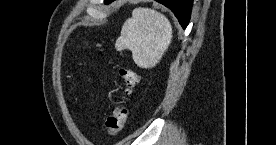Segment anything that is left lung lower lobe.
Masks as SVG:
<instances>
[{
	"instance_id": "obj_1",
	"label": "left lung lower lobe",
	"mask_w": 276,
	"mask_h": 145,
	"mask_svg": "<svg viewBox=\"0 0 276 145\" xmlns=\"http://www.w3.org/2000/svg\"><path fill=\"white\" fill-rule=\"evenodd\" d=\"M106 4H109L113 0H104ZM157 2L168 7L177 17L183 29H185L189 23L193 0H156Z\"/></svg>"
}]
</instances>
